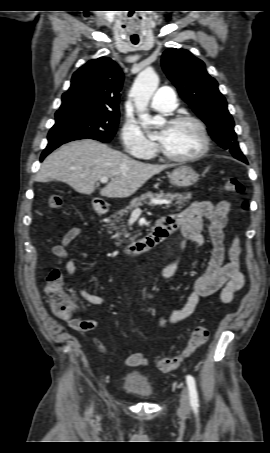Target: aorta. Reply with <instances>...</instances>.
Segmentation results:
<instances>
[{
    "instance_id": "1",
    "label": "aorta",
    "mask_w": 270,
    "mask_h": 453,
    "mask_svg": "<svg viewBox=\"0 0 270 453\" xmlns=\"http://www.w3.org/2000/svg\"><path fill=\"white\" fill-rule=\"evenodd\" d=\"M159 77L153 70L148 67L139 73L131 88L130 95L133 98L134 104L139 112L140 119L145 124H154L160 126L165 120L161 116L151 117L146 111L149 101L157 89Z\"/></svg>"
}]
</instances>
